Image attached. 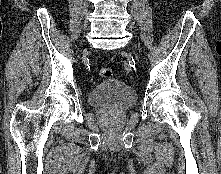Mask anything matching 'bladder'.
Returning <instances> with one entry per match:
<instances>
[{
  "instance_id": "31cf9c89",
  "label": "bladder",
  "mask_w": 221,
  "mask_h": 174,
  "mask_svg": "<svg viewBox=\"0 0 221 174\" xmlns=\"http://www.w3.org/2000/svg\"><path fill=\"white\" fill-rule=\"evenodd\" d=\"M91 106L97 109H127L137 101L136 91L122 80L106 78L91 88L88 94Z\"/></svg>"
}]
</instances>
